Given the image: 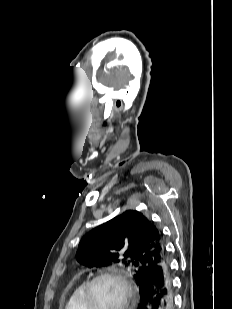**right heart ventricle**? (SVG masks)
<instances>
[{
	"mask_svg": "<svg viewBox=\"0 0 232 309\" xmlns=\"http://www.w3.org/2000/svg\"><path fill=\"white\" fill-rule=\"evenodd\" d=\"M85 285L86 282H81L75 287L66 303L65 309H85L82 301Z\"/></svg>",
	"mask_w": 232,
	"mask_h": 309,
	"instance_id": "1",
	"label": "right heart ventricle"
}]
</instances>
